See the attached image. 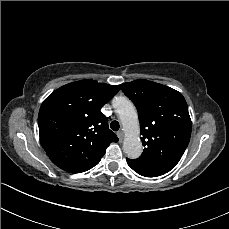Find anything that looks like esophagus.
I'll list each match as a JSON object with an SVG mask.
<instances>
[{"mask_svg":"<svg viewBox=\"0 0 229 229\" xmlns=\"http://www.w3.org/2000/svg\"><path fill=\"white\" fill-rule=\"evenodd\" d=\"M117 136H118L120 142L123 141V139H124V133H123L122 130H119L117 132Z\"/></svg>","mask_w":229,"mask_h":229,"instance_id":"obj_1","label":"esophagus"}]
</instances>
